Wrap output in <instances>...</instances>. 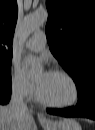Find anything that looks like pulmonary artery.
I'll return each mask as SVG.
<instances>
[{
  "mask_svg": "<svg viewBox=\"0 0 95 130\" xmlns=\"http://www.w3.org/2000/svg\"><path fill=\"white\" fill-rule=\"evenodd\" d=\"M27 48L33 51H41L46 46V36L42 31L36 32L26 44Z\"/></svg>",
  "mask_w": 95,
  "mask_h": 130,
  "instance_id": "e3ab8cb5",
  "label": "pulmonary artery"
}]
</instances>
